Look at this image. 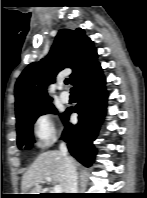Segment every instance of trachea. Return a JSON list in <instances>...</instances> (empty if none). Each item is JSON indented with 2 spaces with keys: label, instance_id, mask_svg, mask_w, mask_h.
I'll return each instance as SVG.
<instances>
[{
  "label": "trachea",
  "instance_id": "1",
  "mask_svg": "<svg viewBox=\"0 0 147 198\" xmlns=\"http://www.w3.org/2000/svg\"><path fill=\"white\" fill-rule=\"evenodd\" d=\"M70 83V79L69 78H67L66 80H65V84H69ZM71 91H73V89H71Z\"/></svg>",
  "mask_w": 147,
  "mask_h": 198
}]
</instances>
